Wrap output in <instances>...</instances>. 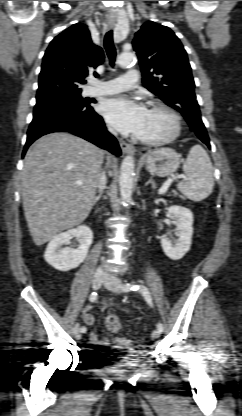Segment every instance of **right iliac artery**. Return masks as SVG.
I'll use <instances>...</instances> for the list:
<instances>
[{
  "label": "right iliac artery",
  "mask_w": 242,
  "mask_h": 416,
  "mask_svg": "<svg viewBox=\"0 0 242 416\" xmlns=\"http://www.w3.org/2000/svg\"><path fill=\"white\" fill-rule=\"evenodd\" d=\"M96 299H97V293L96 292H92L91 294H90V296H89V300L91 301V302H95L96 301ZM86 327L85 326H83V327H81V332L82 333H85L86 332Z\"/></svg>",
  "instance_id": "obj_1"
}]
</instances>
